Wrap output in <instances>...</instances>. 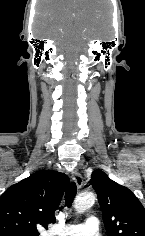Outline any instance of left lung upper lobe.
<instances>
[{
	"instance_id": "obj_1",
	"label": "left lung upper lobe",
	"mask_w": 145,
	"mask_h": 236,
	"mask_svg": "<svg viewBox=\"0 0 145 236\" xmlns=\"http://www.w3.org/2000/svg\"><path fill=\"white\" fill-rule=\"evenodd\" d=\"M109 236H145V208L128 188L111 180L102 170L91 176Z\"/></svg>"
}]
</instances>
